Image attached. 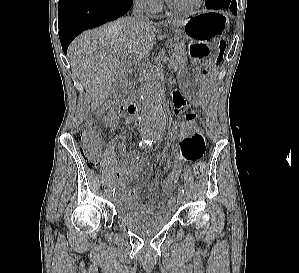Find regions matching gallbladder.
<instances>
[{
	"label": "gallbladder",
	"mask_w": 299,
	"mask_h": 273,
	"mask_svg": "<svg viewBox=\"0 0 299 273\" xmlns=\"http://www.w3.org/2000/svg\"><path fill=\"white\" fill-rule=\"evenodd\" d=\"M125 72V67H122L118 73H117V78L121 81L122 76L124 75Z\"/></svg>",
	"instance_id": "bac80fb5"
}]
</instances>
